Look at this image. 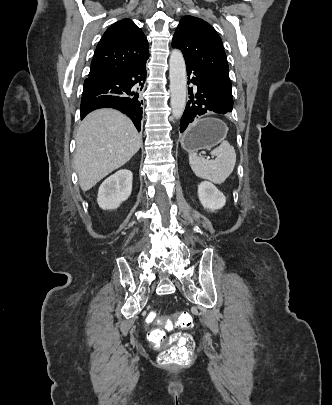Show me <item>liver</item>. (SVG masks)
I'll return each mask as SVG.
<instances>
[{"instance_id": "1", "label": "liver", "mask_w": 332, "mask_h": 405, "mask_svg": "<svg viewBox=\"0 0 332 405\" xmlns=\"http://www.w3.org/2000/svg\"><path fill=\"white\" fill-rule=\"evenodd\" d=\"M75 139L74 167L83 191L122 167L142 145V137L131 120L114 109H99L88 114Z\"/></svg>"}]
</instances>
